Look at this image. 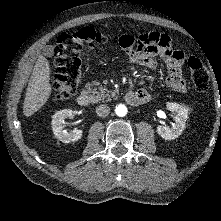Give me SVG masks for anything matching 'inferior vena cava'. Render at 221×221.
Segmentation results:
<instances>
[{
  "mask_svg": "<svg viewBox=\"0 0 221 221\" xmlns=\"http://www.w3.org/2000/svg\"><path fill=\"white\" fill-rule=\"evenodd\" d=\"M96 113L99 117H106L110 113V108L107 105H99L96 107Z\"/></svg>",
  "mask_w": 221,
  "mask_h": 221,
  "instance_id": "obj_1",
  "label": "inferior vena cava"
}]
</instances>
